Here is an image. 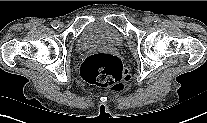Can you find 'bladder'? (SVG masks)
<instances>
[{
    "instance_id": "31cf9c89",
    "label": "bladder",
    "mask_w": 207,
    "mask_h": 123,
    "mask_svg": "<svg viewBox=\"0 0 207 123\" xmlns=\"http://www.w3.org/2000/svg\"><path fill=\"white\" fill-rule=\"evenodd\" d=\"M123 43V35L117 28L104 21L96 20L85 26L76 46L79 51H86L93 48H119Z\"/></svg>"
}]
</instances>
